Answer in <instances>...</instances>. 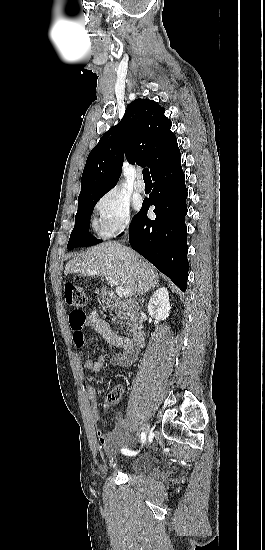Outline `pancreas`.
Returning <instances> with one entry per match:
<instances>
[{
    "label": "pancreas",
    "instance_id": "pancreas-1",
    "mask_svg": "<svg viewBox=\"0 0 265 550\" xmlns=\"http://www.w3.org/2000/svg\"><path fill=\"white\" fill-rule=\"evenodd\" d=\"M116 316L121 320V324H129L134 320V315L129 308H120L116 311Z\"/></svg>",
    "mask_w": 265,
    "mask_h": 550
}]
</instances>
